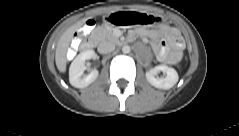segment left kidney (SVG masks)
<instances>
[{
  "label": "left kidney",
  "mask_w": 239,
  "mask_h": 136,
  "mask_svg": "<svg viewBox=\"0 0 239 136\" xmlns=\"http://www.w3.org/2000/svg\"><path fill=\"white\" fill-rule=\"evenodd\" d=\"M162 71L166 76L159 78L157 75ZM147 81L154 87L159 89H170L178 82V73L174 68L166 65H158L146 72Z\"/></svg>",
  "instance_id": "left-kidney-1"
}]
</instances>
